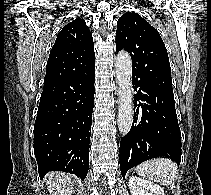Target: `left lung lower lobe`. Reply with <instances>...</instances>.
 Segmentation results:
<instances>
[{"mask_svg":"<svg viewBox=\"0 0 211 195\" xmlns=\"http://www.w3.org/2000/svg\"><path fill=\"white\" fill-rule=\"evenodd\" d=\"M134 120L120 142V169L127 171L148 159L167 157L178 165L181 161V133L175 102L150 84L132 74Z\"/></svg>","mask_w":211,"mask_h":195,"instance_id":"obj_1","label":"left lung lower lobe"}]
</instances>
